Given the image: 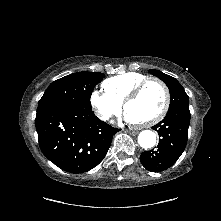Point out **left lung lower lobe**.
I'll list each match as a JSON object with an SVG mask.
<instances>
[{
    "mask_svg": "<svg viewBox=\"0 0 221 221\" xmlns=\"http://www.w3.org/2000/svg\"><path fill=\"white\" fill-rule=\"evenodd\" d=\"M189 123V107L169 109L165 118L152 127L159 134V144L156 149L142 152V165L151 172L170 168L186 147Z\"/></svg>",
    "mask_w": 221,
    "mask_h": 221,
    "instance_id": "obj_1",
    "label": "left lung lower lobe"
}]
</instances>
